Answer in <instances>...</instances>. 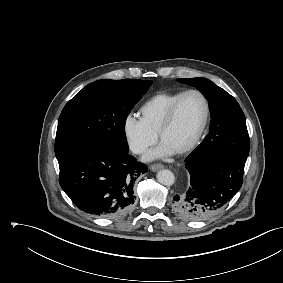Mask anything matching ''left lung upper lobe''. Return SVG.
Segmentation results:
<instances>
[{
	"instance_id": "5c2ea615",
	"label": "left lung upper lobe",
	"mask_w": 283,
	"mask_h": 283,
	"mask_svg": "<svg viewBox=\"0 0 283 283\" xmlns=\"http://www.w3.org/2000/svg\"><path fill=\"white\" fill-rule=\"evenodd\" d=\"M199 89L210 101V132L203 142L188 156L231 152L248 156L249 135L244 113L235 98L205 78L177 79Z\"/></svg>"
}]
</instances>
